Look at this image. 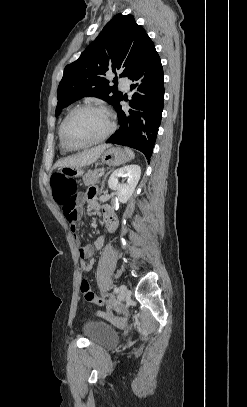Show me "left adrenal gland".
Returning a JSON list of instances; mask_svg holds the SVG:
<instances>
[{"mask_svg":"<svg viewBox=\"0 0 247 407\" xmlns=\"http://www.w3.org/2000/svg\"><path fill=\"white\" fill-rule=\"evenodd\" d=\"M110 171L106 173V175L104 176V179L101 183V188H100V192H102L104 190V185H105V180L107 178V176L109 175Z\"/></svg>","mask_w":247,"mask_h":407,"instance_id":"left-adrenal-gland-1","label":"left adrenal gland"}]
</instances>
